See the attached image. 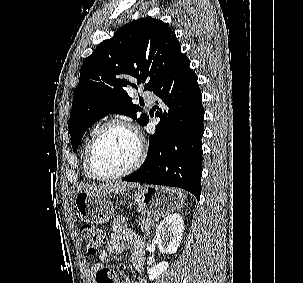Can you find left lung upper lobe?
Wrapping results in <instances>:
<instances>
[{"instance_id":"5c2ea615","label":"left lung upper lobe","mask_w":303,"mask_h":283,"mask_svg":"<svg viewBox=\"0 0 303 283\" xmlns=\"http://www.w3.org/2000/svg\"><path fill=\"white\" fill-rule=\"evenodd\" d=\"M181 54L174 31L164 22L141 18L121 27L84 61L75 88L69 133L76 151L85 131L109 113L130 116L141 126L148 117L131 102L126 88L152 91Z\"/></svg>"}]
</instances>
